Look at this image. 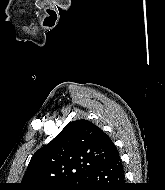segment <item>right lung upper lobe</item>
I'll use <instances>...</instances> for the list:
<instances>
[{"mask_svg":"<svg viewBox=\"0 0 165 190\" xmlns=\"http://www.w3.org/2000/svg\"><path fill=\"white\" fill-rule=\"evenodd\" d=\"M116 154V146L99 127L84 119L70 122L34 153L20 189L54 190L77 183L90 168Z\"/></svg>","mask_w":165,"mask_h":190,"instance_id":"cb5924a9","label":"right lung upper lobe"}]
</instances>
